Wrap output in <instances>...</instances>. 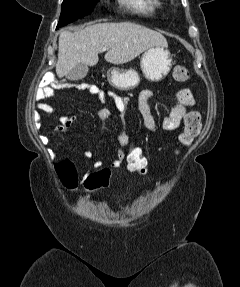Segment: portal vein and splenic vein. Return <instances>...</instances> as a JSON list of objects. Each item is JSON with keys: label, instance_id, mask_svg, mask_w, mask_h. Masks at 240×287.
<instances>
[{"label": "portal vein and splenic vein", "instance_id": "18ae733b", "mask_svg": "<svg viewBox=\"0 0 240 287\" xmlns=\"http://www.w3.org/2000/svg\"><path fill=\"white\" fill-rule=\"evenodd\" d=\"M106 50H108V48H106V47L102 48V51H106Z\"/></svg>", "mask_w": 240, "mask_h": 287}]
</instances>
